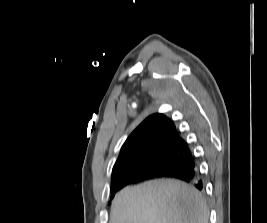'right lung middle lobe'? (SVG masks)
Listing matches in <instances>:
<instances>
[{
  "instance_id": "1",
  "label": "right lung middle lobe",
  "mask_w": 267,
  "mask_h": 223,
  "mask_svg": "<svg viewBox=\"0 0 267 223\" xmlns=\"http://www.w3.org/2000/svg\"><path fill=\"white\" fill-rule=\"evenodd\" d=\"M185 154L186 151L182 148L167 147L152 158L144 161H134L125 165V173L135 170H151L159 173L167 172L175 166ZM113 197L114 195L112 194L111 198Z\"/></svg>"
}]
</instances>
